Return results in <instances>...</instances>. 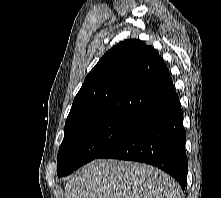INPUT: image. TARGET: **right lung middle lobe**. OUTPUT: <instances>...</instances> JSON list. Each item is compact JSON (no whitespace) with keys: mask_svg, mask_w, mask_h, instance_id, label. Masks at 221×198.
I'll return each instance as SVG.
<instances>
[{"mask_svg":"<svg viewBox=\"0 0 221 198\" xmlns=\"http://www.w3.org/2000/svg\"><path fill=\"white\" fill-rule=\"evenodd\" d=\"M140 118L113 115L91 121L65 133L57 156V174L66 176L127 136Z\"/></svg>","mask_w":221,"mask_h":198,"instance_id":"right-lung-middle-lobe-1","label":"right lung middle lobe"}]
</instances>
